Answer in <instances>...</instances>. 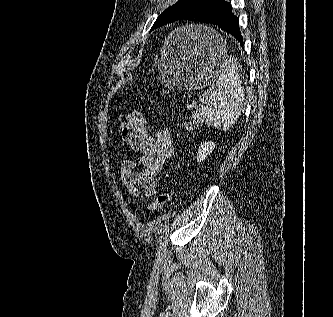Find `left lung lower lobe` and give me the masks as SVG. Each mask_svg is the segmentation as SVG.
Listing matches in <instances>:
<instances>
[{
  "label": "left lung lower lobe",
  "mask_w": 333,
  "mask_h": 317,
  "mask_svg": "<svg viewBox=\"0 0 333 317\" xmlns=\"http://www.w3.org/2000/svg\"><path fill=\"white\" fill-rule=\"evenodd\" d=\"M183 19L217 25L234 36L243 47V37L239 30V18L232 13L230 2L213 0L206 5L190 11Z\"/></svg>",
  "instance_id": "left-lung-lower-lobe-1"
}]
</instances>
